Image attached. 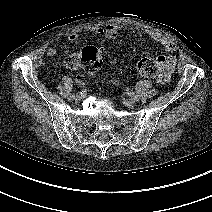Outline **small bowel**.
<instances>
[{
    "label": "small bowel",
    "mask_w": 212,
    "mask_h": 212,
    "mask_svg": "<svg viewBox=\"0 0 212 212\" xmlns=\"http://www.w3.org/2000/svg\"><path fill=\"white\" fill-rule=\"evenodd\" d=\"M124 28H130L132 30L142 32L143 34L147 35L152 40L160 43L164 47L165 51L168 53H173L177 50V44L174 41L170 40L163 34L157 32V31H154V30L140 29V28L132 27V26L128 27V26H124V25H120V24H116V23H109L106 25H94V26L89 27L87 30L94 34L103 35L109 40H115L118 38L120 31ZM77 39H78L77 32H71L68 35V40L70 42H74ZM66 52L67 51H65V53ZM58 53H59V48L56 45L51 46L47 51V54L50 57H54ZM160 57L163 59L164 65H163V69H162V76L158 79V81L160 83H166L170 79V74L175 67L176 59L172 55L160 56ZM82 80H83L82 76L76 77L77 82L80 83V82H82Z\"/></svg>",
    "instance_id": "small-bowel-1"
}]
</instances>
